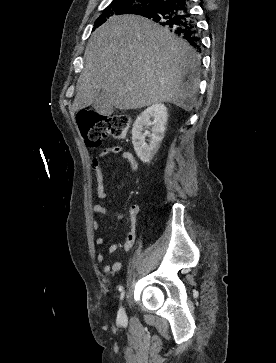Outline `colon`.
<instances>
[{
  "label": "colon",
  "instance_id": "1",
  "mask_svg": "<svg viewBox=\"0 0 276 363\" xmlns=\"http://www.w3.org/2000/svg\"><path fill=\"white\" fill-rule=\"evenodd\" d=\"M80 133L91 148L100 146L102 141L111 136L124 140L128 135L131 119L125 114L102 116L88 109H81L77 114Z\"/></svg>",
  "mask_w": 276,
  "mask_h": 363
}]
</instances>
